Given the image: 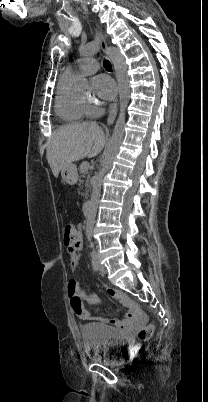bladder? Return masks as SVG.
I'll return each instance as SVG.
<instances>
[{"label": "bladder", "instance_id": "1", "mask_svg": "<svg viewBox=\"0 0 208 402\" xmlns=\"http://www.w3.org/2000/svg\"><path fill=\"white\" fill-rule=\"evenodd\" d=\"M82 330L83 346L91 359L99 363H115L114 356L122 352L125 339L108 324L93 323L84 325Z\"/></svg>", "mask_w": 208, "mask_h": 402}]
</instances>
